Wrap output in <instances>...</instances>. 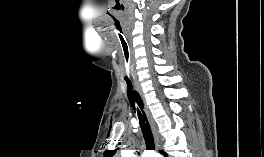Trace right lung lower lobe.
<instances>
[{"instance_id":"obj_1","label":"right lung lower lobe","mask_w":264,"mask_h":157,"mask_svg":"<svg viewBox=\"0 0 264 157\" xmlns=\"http://www.w3.org/2000/svg\"><path fill=\"white\" fill-rule=\"evenodd\" d=\"M162 154L166 157L167 156V154H165L164 152H162Z\"/></svg>"}]
</instances>
